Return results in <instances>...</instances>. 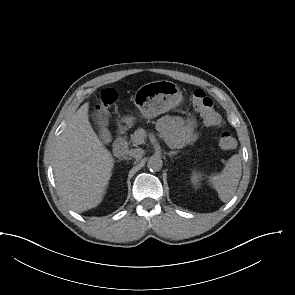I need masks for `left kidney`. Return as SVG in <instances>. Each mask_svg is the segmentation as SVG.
<instances>
[{"label": "left kidney", "mask_w": 295, "mask_h": 295, "mask_svg": "<svg viewBox=\"0 0 295 295\" xmlns=\"http://www.w3.org/2000/svg\"><path fill=\"white\" fill-rule=\"evenodd\" d=\"M200 178H201V174L197 173L196 171H193L192 176H191V181L196 188L198 187Z\"/></svg>", "instance_id": "5707ae66"}]
</instances>
